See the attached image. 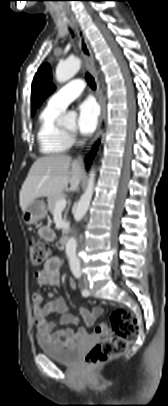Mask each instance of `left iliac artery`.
<instances>
[{"instance_id": "1", "label": "left iliac artery", "mask_w": 168, "mask_h": 406, "mask_svg": "<svg viewBox=\"0 0 168 406\" xmlns=\"http://www.w3.org/2000/svg\"><path fill=\"white\" fill-rule=\"evenodd\" d=\"M73 274H74V276L76 277V278H81V275H82V272H81V270L79 269V268H76V269H74L73 270ZM82 295L83 296H88L89 295V291L87 290V289H83L82 290Z\"/></svg>"}]
</instances>
